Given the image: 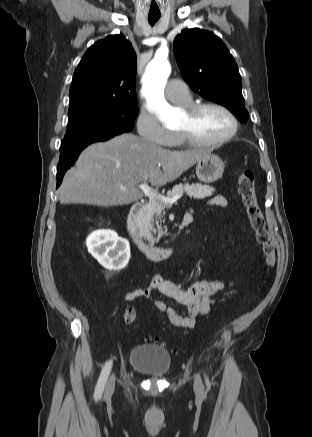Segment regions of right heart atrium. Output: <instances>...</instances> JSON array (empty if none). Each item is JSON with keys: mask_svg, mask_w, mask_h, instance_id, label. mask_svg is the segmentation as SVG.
<instances>
[{"mask_svg": "<svg viewBox=\"0 0 312 437\" xmlns=\"http://www.w3.org/2000/svg\"><path fill=\"white\" fill-rule=\"evenodd\" d=\"M137 131L139 135L152 144L169 146L172 144L175 133L168 130L156 115L142 110L137 118Z\"/></svg>", "mask_w": 312, "mask_h": 437, "instance_id": "right-heart-atrium-1", "label": "right heart atrium"}]
</instances>
